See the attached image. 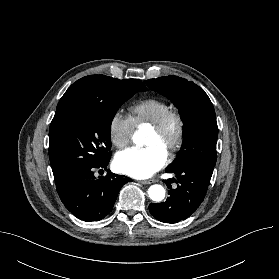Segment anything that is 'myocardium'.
I'll return each instance as SVG.
<instances>
[{"label":"myocardium","mask_w":279,"mask_h":279,"mask_svg":"<svg viewBox=\"0 0 279 279\" xmlns=\"http://www.w3.org/2000/svg\"><path fill=\"white\" fill-rule=\"evenodd\" d=\"M172 124H174L176 127V135L172 145L167 152L169 156H172L175 152H177L183 143L185 130L183 116L177 109L170 108L162 114V116L156 123L151 126V130L161 134L167 131Z\"/></svg>","instance_id":"obj_1"}]
</instances>
